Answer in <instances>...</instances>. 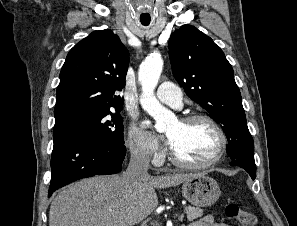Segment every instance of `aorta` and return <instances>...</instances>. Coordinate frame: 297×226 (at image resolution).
<instances>
[{
  "label": "aorta",
  "mask_w": 297,
  "mask_h": 226,
  "mask_svg": "<svg viewBox=\"0 0 297 226\" xmlns=\"http://www.w3.org/2000/svg\"><path fill=\"white\" fill-rule=\"evenodd\" d=\"M163 60L160 56L148 57L140 66L138 79L142 85L140 103L142 108L151 115L155 121L157 131L166 129L168 111L159 103L154 95L159 77L162 72Z\"/></svg>",
  "instance_id": "aorta-1"
}]
</instances>
